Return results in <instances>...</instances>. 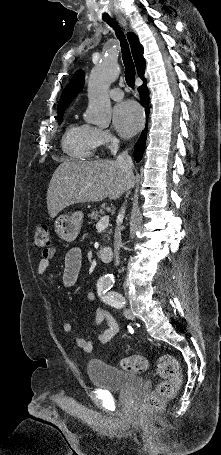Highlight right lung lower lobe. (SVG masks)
<instances>
[{"label": "right lung lower lobe", "mask_w": 221, "mask_h": 455, "mask_svg": "<svg viewBox=\"0 0 221 455\" xmlns=\"http://www.w3.org/2000/svg\"><path fill=\"white\" fill-rule=\"evenodd\" d=\"M142 79L144 81V84L142 86H140L138 88V90H139L140 95H141L142 105L144 107H147L148 106V90H147V87H146V80L144 79V76L142 77ZM145 111H146V115H148L149 109L146 108ZM146 132H147V130L145 129L142 132L139 140L137 141V143L134 146L136 162H138L142 158V155H143V152H144V148H145V143H146Z\"/></svg>", "instance_id": "98d812e1"}]
</instances>
